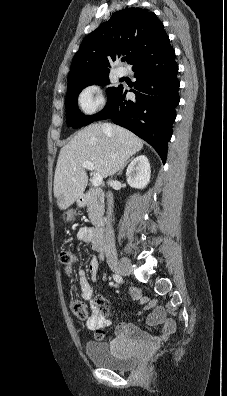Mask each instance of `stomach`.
<instances>
[{
    "label": "stomach",
    "instance_id": "0dacf381",
    "mask_svg": "<svg viewBox=\"0 0 227 396\" xmlns=\"http://www.w3.org/2000/svg\"><path fill=\"white\" fill-rule=\"evenodd\" d=\"M78 205L80 206V202L78 201ZM74 218V212L72 210H68L66 212H64V214L62 215V219L64 222H68L73 220Z\"/></svg>",
    "mask_w": 227,
    "mask_h": 396
}]
</instances>
